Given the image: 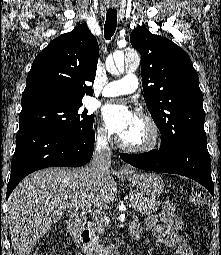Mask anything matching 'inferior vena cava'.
I'll use <instances>...</instances> for the list:
<instances>
[{
  "instance_id": "602c4592",
  "label": "inferior vena cava",
  "mask_w": 221,
  "mask_h": 255,
  "mask_svg": "<svg viewBox=\"0 0 221 255\" xmlns=\"http://www.w3.org/2000/svg\"><path fill=\"white\" fill-rule=\"evenodd\" d=\"M110 166L111 151L106 136H103L98 138L96 142V147L90 164V168L95 174L100 175L101 173L109 170Z\"/></svg>"
}]
</instances>
